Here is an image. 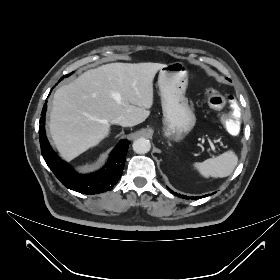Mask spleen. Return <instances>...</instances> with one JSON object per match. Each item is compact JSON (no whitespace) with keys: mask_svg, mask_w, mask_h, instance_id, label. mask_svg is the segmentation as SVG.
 <instances>
[{"mask_svg":"<svg viewBox=\"0 0 280 280\" xmlns=\"http://www.w3.org/2000/svg\"><path fill=\"white\" fill-rule=\"evenodd\" d=\"M238 157L232 150L223 154L209 158L201 163H194V167L205 178H224L229 176L235 169Z\"/></svg>","mask_w":280,"mask_h":280,"instance_id":"1","label":"spleen"}]
</instances>
